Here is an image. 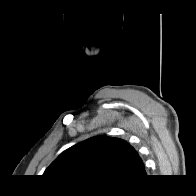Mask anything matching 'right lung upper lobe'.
Here are the masks:
<instances>
[{
    "label": "right lung upper lobe",
    "mask_w": 196,
    "mask_h": 196,
    "mask_svg": "<svg viewBox=\"0 0 196 196\" xmlns=\"http://www.w3.org/2000/svg\"><path fill=\"white\" fill-rule=\"evenodd\" d=\"M43 176L57 182L116 186L136 182L146 172L141 158L128 142L100 135L62 152Z\"/></svg>",
    "instance_id": "obj_1"
}]
</instances>
